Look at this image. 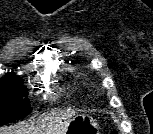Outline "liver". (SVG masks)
<instances>
[{
  "instance_id": "1",
  "label": "liver",
  "mask_w": 153,
  "mask_h": 134,
  "mask_svg": "<svg viewBox=\"0 0 153 134\" xmlns=\"http://www.w3.org/2000/svg\"><path fill=\"white\" fill-rule=\"evenodd\" d=\"M74 115L75 111L73 110L55 112L50 114L54 122L48 123L47 127L45 123H37V125L32 123L31 125L0 129V134H40L42 130L46 134H63Z\"/></svg>"
}]
</instances>
